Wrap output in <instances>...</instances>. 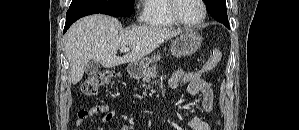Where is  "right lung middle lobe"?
<instances>
[{"label":"right lung middle lobe","mask_w":299,"mask_h":130,"mask_svg":"<svg viewBox=\"0 0 299 130\" xmlns=\"http://www.w3.org/2000/svg\"><path fill=\"white\" fill-rule=\"evenodd\" d=\"M134 0H72L70 10H93L107 15L129 16Z\"/></svg>","instance_id":"right-lung-middle-lobe-1"}]
</instances>
